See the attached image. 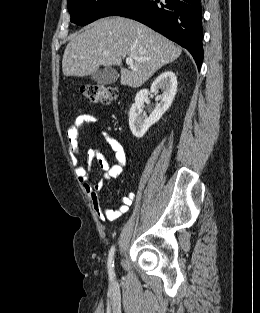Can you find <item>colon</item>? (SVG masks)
<instances>
[{
	"label": "colon",
	"instance_id": "5ec220e1",
	"mask_svg": "<svg viewBox=\"0 0 260 313\" xmlns=\"http://www.w3.org/2000/svg\"><path fill=\"white\" fill-rule=\"evenodd\" d=\"M81 93L92 103L108 105L118 96L116 88L103 84H85L80 88Z\"/></svg>",
	"mask_w": 260,
	"mask_h": 313
}]
</instances>
